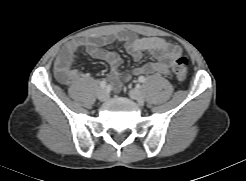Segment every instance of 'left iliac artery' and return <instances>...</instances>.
Wrapping results in <instances>:
<instances>
[{
  "label": "left iliac artery",
  "instance_id": "left-iliac-artery-1",
  "mask_svg": "<svg viewBox=\"0 0 246 181\" xmlns=\"http://www.w3.org/2000/svg\"><path fill=\"white\" fill-rule=\"evenodd\" d=\"M145 80H146V78H145L144 76H140V77L138 78V81H139L140 83H144Z\"/></svg>",
  "mask_w": 246,
  "mask_h": 181
}]
</instances>
